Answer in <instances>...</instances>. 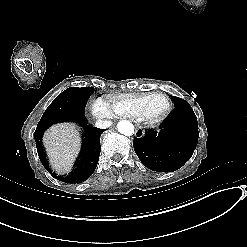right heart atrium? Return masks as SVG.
<instances>
[{"label":"right heart atrium","instance_id":"1","mask_svg":"<svg viewBox=\"0 0 247 247\" xmlns=\"http://www.w3.org/2000/svg\"><path fill=\"white\" fill-rule=\"evenodd\" d=\"M92 113L97 119L106 118L107 112L100 100H96L92 104Z\"/></svg>","mask_w":247,"mask_h":247}]
</instances>
